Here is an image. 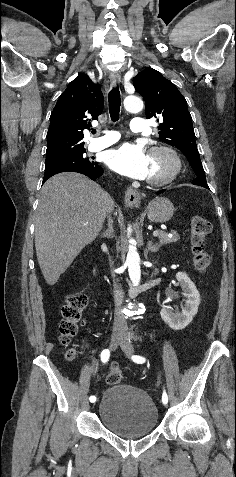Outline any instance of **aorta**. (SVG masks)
Instances as JSON below:
<instances>
[{"mask_svg": "<svg viewBox=\"0 0 236 477\" xmlns=\"http://www.w3.org/2000/svg\"><path fill=\"white\" fill-rule=\"evenodd\" d=\"M124 107L128 112H139L143 109V101L134 95L127 96L124 99ZM128 235L131 234L132 228L129 226L127 229ZM129 248L126 258V265L128 266L129 277L134 286H138L141 278L140 270V257L133 246L134 240H129Z\"/></svg>", "mask_w": 236, "mask_h": 477, "instance_id": "obj_1", "label": "aorta"}]
</instances>
